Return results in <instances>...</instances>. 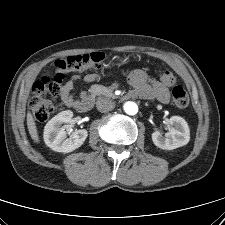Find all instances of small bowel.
<instances>
[{"instance_id":"small-bowel-1","label":"small bowel","mask_w":225,"mask_h":225,"mask_svg":"<svg viewBox=\"0 0 225 225\" xmlns=\"http://www.w3.org/2000/svg\"><path fill=\"white\" fill-rule=\"evenodd\" d=\"M98 79L94 73H86L82 76L72 75L61 87V100L68 107H74L76 102L82 98L73 92L78 83H89ZM128 81L133 87L132 95L142 99L156 98L162 103H167L170 99L167 84L150 77L143 70H134L128 76Z\"/></svg>"}]
</instances>
